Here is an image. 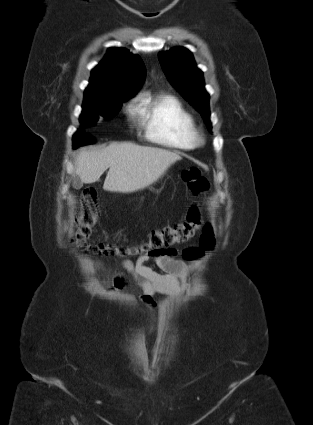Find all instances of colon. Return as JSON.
I'll return each mask as SVG.
<instances>
[{"instance_id": "obj_1", "label": "colon", "mask_w": 313, "mask_h": 425, "mask_svg": "<svg viewBox=\"0 0 313 425\" xmlns=\"http://www.w3.org/2000/svg\"><path fill=\"white\" fill-rule=\"evenodd\" d=\"M182 179L195 194L206 192L209 188L208 180L197 167L185 169L182 172ZM100 211L96 188H85L81 196V211L75 220L73 236V244L79 251L97 253L106 257L158 255L171 246L188 241L195 235L201 224L199 210L196 206H192L183 222L153 230L147 240L141 244L124 246L100 243L95 245L89 242V236L98 220ZM200 244L201 249H186L183 253L184 256L188 259L198 258L202 256L203 250L210 249L214 245V236L210 227L204 229Z\"/></svg>"}]
</instances>
